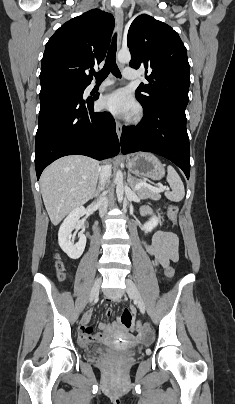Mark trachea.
Here are the masks:
<instances>
[{
	"label": "trachea",
	"instance_id": "trachea-1",
	"mask_svg": "<svg viewBox=\"0 0 235 404\" xmlns=\"http://www.w3.org/2000/svg\"><path fill=\"white\" fill-rule=\"evenodd\" d=\"M116 50H117V45H116V34H115L113 37L111 46L108 50L104 67L97 73L93 72L97 81H103L110 72L116 77H121L120 71L116 64V58H115Z\"/></svg>",
	"mask_w": 235,
	"mask_h": 404
}]
</instances>
